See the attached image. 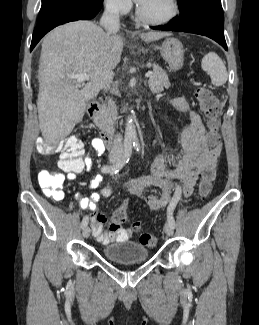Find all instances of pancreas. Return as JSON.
Masks as SVG:
<instances>
[{
  "mask_svg": "<svg viewBox=\"0 0 259 325\" xmlns=\"http://www.w3.org/2000/svg\"><path fill=\"white\" fill-rule=\"evenodd\" d=\"M152 93H160L164 88L170 87L166 72L159 66L153 65V74L148 81ZM117 107L112 99L102 105L101 113L97 119V125L106 132L113 131V126L118 119Z\"/></svg>",
  "mask_w": 259,
  "mask_h": 325,
  "instance_id": "pancreas-1",
  "label": "pancreas"
}]
</instances>
